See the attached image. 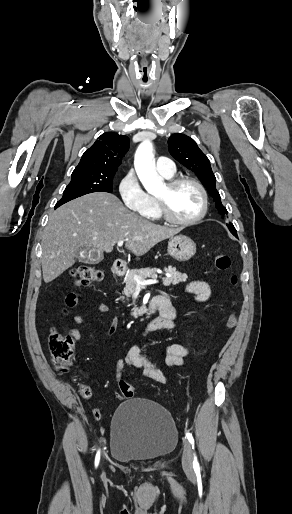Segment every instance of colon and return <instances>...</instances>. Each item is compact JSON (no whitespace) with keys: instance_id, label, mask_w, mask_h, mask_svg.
<instances>
[{"instance_id":"5ec220e1","label":"colon","mask_w":292,"mask_h":514,"mask_svg":"<svg viewBox=\"0 0 292 514\" xmlns=\"http://www.w3.org/2000/svg\"><path fill=\"white\" fill-rule=\"evenodd\" d=\"M215 266L218 270L227 272L231 267V260L227 254H216L214 258ZM73 273L77 278L78 286H88L91 284H95L103 276V272L92 266H81L76 268ZM237 277L235 275L231 276V285L235 286L237 284ZM74 302V297L70 296L67 304L72 305ZM237 323V315L232 312L225 322V329L231 330L236 326ZM49 348L51 354V360L55 368L61 372L68 371L71 364L75 361V352L73 349V338L68 336L62 332H53L49 336ZM118 392L120 395H124L125 399L131 398L134 395L135 387L131 383L120 384L118 387ZM81 395L84 399H89L92 395L91 389L87 386H83L81 388ZM93 414L95 416H100V409H94Z\"/></svg>"}]
</instances>
